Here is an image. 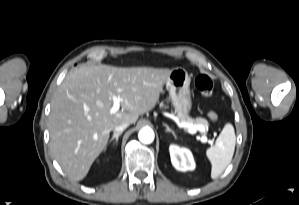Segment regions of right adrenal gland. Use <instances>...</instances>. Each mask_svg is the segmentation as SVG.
Instances as JSON below:
<instances>
[{
    "label": "right adrenal gland",
    "mask_w": 299,
    "mask_h": 205,
    "mask_svg": "<svg viewBox=\"0 0 299 205\" xmlns=\"http://www.w3.org/2000/svg\"><path fill=\"white\" fill-rule=\"evenodd\" d=\"M122 134V132H118V133H114L112 138L110 139L109 141V144L115 139V143L117 144L118 143V138L119 136Z\"/></svg>",
    "instance_id": "obj_1"
}]
</instances>
